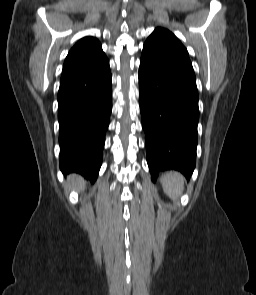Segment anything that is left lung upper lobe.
Wrapping results in <instances>:
<instances>
[{"instance_id":"obj_1","label":"left lung upper lobe","mask_w":256,"mask_h":295,"mask_svg":"<svg viewBox=\"0 0 256 295\" xmlns=\"http://www.w3.org/2000/svg\"><path fill=\"white\" fill-rule=\"evenodd\" d=\"M140 64L196 87L195 74L186 48L174 34L164 28H156L148 37Z\"/></svg>"}]
</instances>
